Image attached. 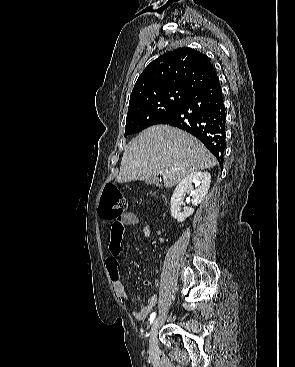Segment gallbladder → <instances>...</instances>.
Listing matches in <instances>:
<instances>
[{"label":"gallbladder","instance_id":"obj_1","mask_svg":"<svg viewBox=\"0 0 295 367\" xmlns=\"http://www.w3.org/2000/svg\"><path fill=\"white\" fill-rule=\"evenodd\" d=\"M145 183L150 185V184H158L157 180L156 179H147L145 180Z\"/></svg>","mask_w":295,"mask_h":367}]
</instances>
